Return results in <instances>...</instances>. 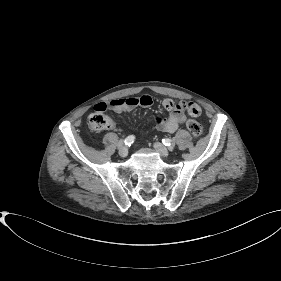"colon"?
Here are the masks:
<instances>
[{
    "mask_svg": "<svg viewBox=\"0 0 281 281\" xmlns=\"http://www.w3.org/2000/svg\"><path fill=\"white\" fill-rule=\"evenodd\" d=\"M189 109L193 113H199L201 109L197 106L191 105ZM104 110H96L89 116V127L95 132L108 130L113 126L111 118L103 113ZM186 127L191 135L198 138L202 135L203 129L200 123L194 119H189L186 122Z\"/></svg>",
    "mask_w": 281,
    "mask_h": 281,
    "instance_id": "5ec220e1",
    "label": "colon"
}]
</instances>
